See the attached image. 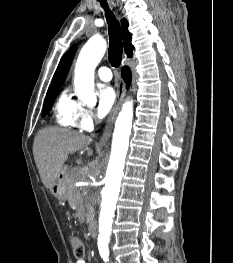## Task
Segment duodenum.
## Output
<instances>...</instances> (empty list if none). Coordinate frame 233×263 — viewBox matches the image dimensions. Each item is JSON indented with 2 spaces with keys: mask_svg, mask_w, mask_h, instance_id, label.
<instances>
[{
  "mask_svg": "<svg viewBox=\"0 0 233 263\" xmlns=\"http://www.w3.org/2000/svg\"><path fill=\"white\" fill-rule=\"evenodd\" d=\"M89 234L91 238H95L97 234V225L95 222H91L88 226Z\"/></svg>",
  "mask_w": 233,
  "mask_h": 263,
  "instance_id": "duodenum-1",
  "label": "duodenum"
}]
</instances>
